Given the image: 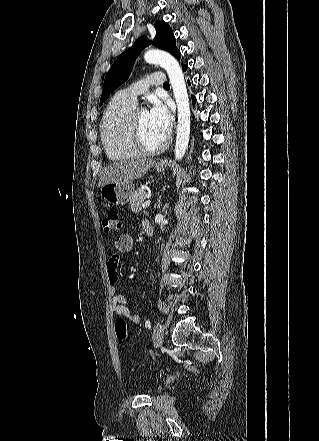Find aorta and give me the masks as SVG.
Segmentation results:
<instances>
[{
  "instance_id": "1",
  "label": "aorta",
  "mask_w": 319,
  "mask_h": 441,
  "mask_svg": "<svg viewBox=\"0 0 319 441\" xmlns=\"http://www.w3.org/2000/svg\"><path fill=\"white\" fill-rule=\"evenodd\" d=\"M144 59L149 64L163 67L169 76L178 109V126L175 145V158L181 160L186 152L190 137V104L184 75L178 61L168 52L150 49L145 52Z\"/></svg>"
}]
</instances>
